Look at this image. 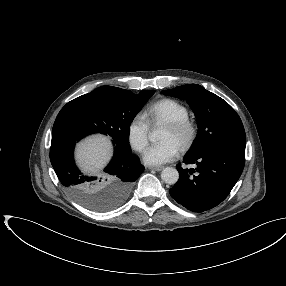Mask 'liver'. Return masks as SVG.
Masks as SVG:
<instances>
[{"mask_svg":"<svg viewBox=\"0 0 286 286\" xmlns=\"http://www.w3.org/2000/svg\"><path fill=\"white\" fill-rule=\"evenodd\" d=\"M112 155L109 139L94 136L78 144L76 159L81 169L89 174L99 172Z\"/></svg>","mask_w":286,"mask_h":286,"instance_id":"liver-1","label":"liver"}]
</instances>
